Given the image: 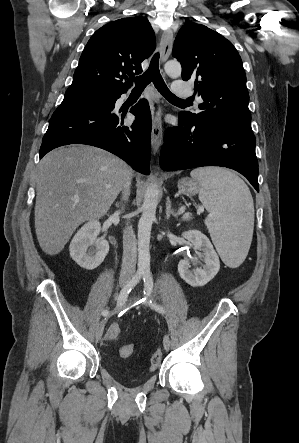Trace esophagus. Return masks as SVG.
<instances>
[{"instance_id": "34e87169", "label": "esophagus", "mask_w": 299, "mask_h": 443, "mask_svg": "<svg viewBox=\"0 0 299 443\" xmlns=\"http://www.w3.org/2000/svg\"><path fill=\"white\" fill-rule=\"evenodd\" d=\"M173 46V32L171 29H167L162 33L160 40V51L162 61H165L172 50ZM162 120H161V110L158 109L152 118V132H151V146L152 150L155 153L159 151V148L162 143Z\"/></svg>"}]
</instances>
